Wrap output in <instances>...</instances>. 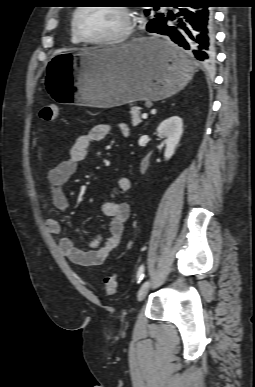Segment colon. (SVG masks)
<instances>
[{"instance_id":"1","label":"colon","mask_w":255,"mask_h":387,"mask_svg":"<svg viewBox=\"0 0 255 387\" xmlns=\"http://www.w3.org/2000/svg\"><path fill=\"white\" fill-rule=\"evenodd\" d=\"M40 118L46 122H54L58 117V108L55 105H46L40 110ZM103 288L106 294L113 295L117 289V274L111 272L103 279Z\"/></svg>"}]
</instances>
